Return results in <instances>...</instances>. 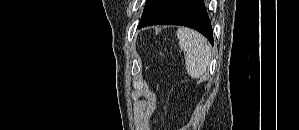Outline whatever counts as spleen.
I'll return each mask as SVG.
<instances>
[{
    "label": "spleen",
    "instance_id": "spleen-1",
    "mask_svg": "<svg viewBox=\"0 0 299 130\" xmlns=\"http://www.w3.org/2000/svg\"><path fill=\"white\" fill-rule=\"evenodd\" d=\"M176 35L180 49L186 52L187 73L193 79L204 78L211 59L210 45L207 40L198 32L184 27L179 28Z\"/></svg>",
    "mask_w": 299,
    "mask_h": 130
}]
</instances>
